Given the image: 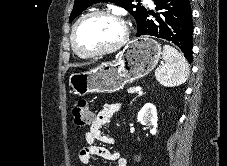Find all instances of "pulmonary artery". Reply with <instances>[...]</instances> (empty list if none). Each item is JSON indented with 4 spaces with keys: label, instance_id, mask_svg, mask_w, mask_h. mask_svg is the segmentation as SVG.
I'll use <instances>...</instances> for the list:
<instances>
[{
    "label": "pulmonary artery",
    "instance_id": "e3ab8cb5",
    "mask_svg": "<svg viewBox=\"0 0 227 166\" xmlns=\"http://www.w3.org/2000/svg\"><path fill=\"white\" fill-rule=\"evenodd\" d=\"M145 2L151 7V8H154V2L153 0H145Z\"/></svg>",
    "mask_w": 227,
    "mask_h": 166
}]
</instances>
